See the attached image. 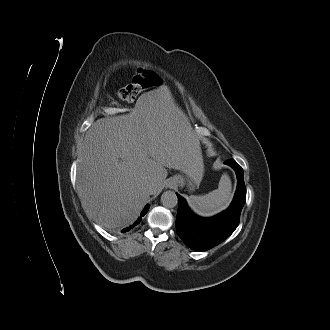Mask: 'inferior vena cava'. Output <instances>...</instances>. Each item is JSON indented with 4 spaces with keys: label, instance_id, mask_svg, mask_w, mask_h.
<instances>
[{
    "label": "inferior vena cava",
    "instance_id": "1",
    "mask_svg": "<svg viewBox=\"0 0 330 330\" xmlns=\"http://www.w3.org/2000/svg\"><path fill=\"white\" fill-rule=\"evenodd\" d=\"M155 186H156V184H155L152 180H149V181L147 182V185H146L147 191H148L150 194H153L154 189H155Z\"/></svg>",
    "mask_w": 330,
    "mask_h": 330
}]
</instances>
